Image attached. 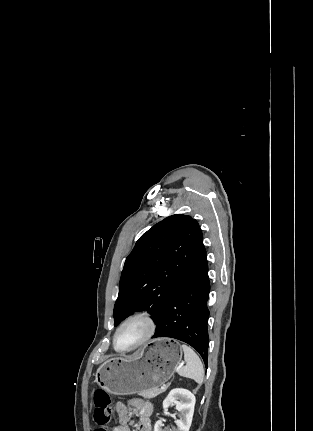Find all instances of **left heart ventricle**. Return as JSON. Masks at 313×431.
Returning <instances> with one entry per match:
<instances>
[{
  "label": "left heart ventricle",
  "instance_id": "b2bd125f",
  "mask_svg": "<svg viewBox=\"0 0 313 431\" xmlns=\"http://www.w3.org/2000/svg\"><path fill=\"white\" fill-rule=\"evenodd\" d=\"M147 325L144 321L136 320L126 324L117 336L119 348H130L138 343L146 334Z\"/></svg>",
  "mask_w": 313,
  "mask_h": 431
}]
</instances>
